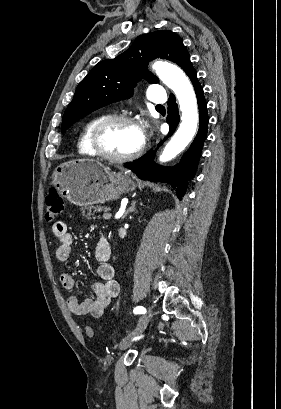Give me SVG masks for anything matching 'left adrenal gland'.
<instances>
[{
    "instance_id": "obj_1",
    "label": "left adrenal gland",
    "mask_w": 281,
    "mask_h": 409,
    "mask_svg": "<svg viewBox=\"0 0 281 409\" xmlns=\"http://www.w3.org/2000/svg\"><path fill=\"white\" fill-rule=\"evenodd\" d=\"M136 200H132L131 202V207H129V209H127L126 213H124L123 217H121V219H125V217H127L128 213H133V211H136Z\"/></svg>"
}]
</instances>
